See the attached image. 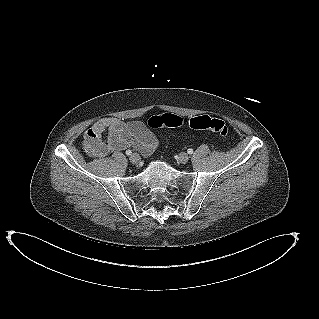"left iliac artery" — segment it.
Here are the masks:
<instances>
[{"mask_svg": "<svg viewBox=\"0 0 319 319\" xmlns=\"http://www.w3.org/2000/svg\"><path fill=\"white\" fill-rule=\"evenodd\" d=\"M187 152H188V154H192L193 153V149H188Z\"/></svg>", "mask_w": 319, "mask_h": 319, "instance_id": "left-iliac-artery-1", "label": "left iliac artery"}]
</instances>
